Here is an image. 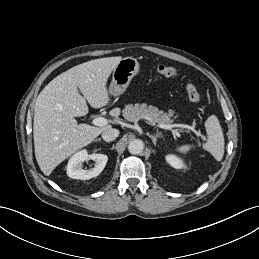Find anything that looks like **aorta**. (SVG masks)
<instances>
[{
	"label": "aorta",
	"instance_id": "762f6f07",
	"mask_svg": "<svg viewBox=\"0 0 259 259\" xmlns=\"http://www.w3.org/2000/svg\"><path fill=\"white\" fill-rule=\"evenodd\" d=\"M144 143L140 139L132 140L128 145V150L131 154L138 155L143 152Z\"/></svg>",
	"mask_w": 259,
	"mask_h": 259
}]
</instances>
